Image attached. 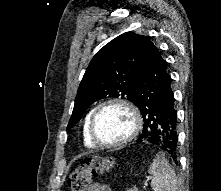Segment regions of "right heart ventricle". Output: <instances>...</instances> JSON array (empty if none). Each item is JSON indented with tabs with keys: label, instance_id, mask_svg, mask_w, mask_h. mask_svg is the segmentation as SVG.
Listing matches in <instances>:
<instances>
[{
	"label": "right heart ventricle",
	"instance_id": "1",
	"mask_svg": "<svg viewBox=\"0 0 221 191\" xmlns=\"http://www.w3.org/2000/svg\"><path fill=\"white\" fill-rule=\"evenodd\" d=\"M91 114H92V111H90L84 119L83 128H82V137H83V142L86 147L95 148L96 145L92 142L89 136V120H90Z\"/></svg>",
	"mask_w": 221,
	"mask_h": 191
}]
</instances>
